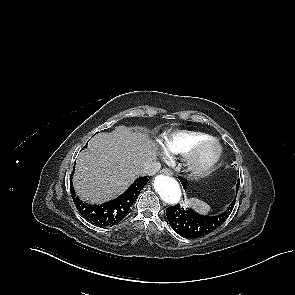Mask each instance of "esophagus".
I'll return each instance as SVG.
<instances>
[{
  "label": "esophagus",
  "instance_id": "1",
  "mask_svg": "<svg viewBox=\"0 0 295 295\" xmlns=\"http://www.w3.org/2000/svg\"><path fill=\"white\" fill-rule=\"evenodd\" d=\"M161 173L164 174V175H168V176H172L173 175V172L170 169H168V168H163L161 170Z\"/></svg>",
  "mask_w": 295,
  "mask_h": 295
}]
</instances>
